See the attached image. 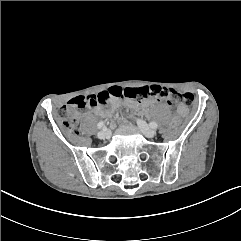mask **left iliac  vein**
<instances>
[{"label":"left iliac vein","mask_w":241,"mask_h":241,"mask_svg":"<svg viewBox=\"0 0 241 241\" xmlns=\"http://www.w3.org/2000/svg\"><path fill=\"white\" fill-rule=\"evenodd\" d=\"M137 124L142 131V133L148 137V138H153L156 135L155 130H153L145 121L138 119Z\"/></svg>","instance_id":"obj_1"}]
</instances>
